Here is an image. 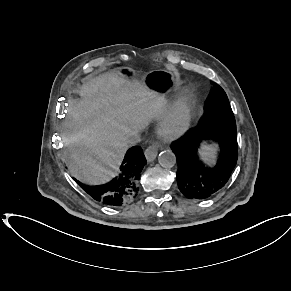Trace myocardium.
<instances>
[{
  "mask_svg": "<svg viewBox=\"0 0 291 291\" xmlns=\"http://www.w3.org/2000/svg\"><path fill=\"white\" fill-rule=\"evenodd\" d=\"M190 94L175 101L158 122V133L166 140H175L183 136L191 127L193 107Z\"/></svg>",
  "mask_w": 291,
  "mask_h": 291,
  "instance_id": "1",
  "label": "myocardium"
}]
</instances>
